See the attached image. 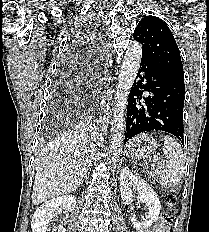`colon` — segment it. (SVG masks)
Wrapping results in <instances>:
<instances>
[{"label":"colon","instance_id":"obj_1","mask_svg":"<svg viewBox=\"0 0 209 232\" xmlns=\"http://www.w3.org/2000/svg\"><path fill=\"white\" fill-rule=\"evenodd\" d=\"M166 202L169 209H173L176 203V197L173 194H168L166 196ZM172 219V214L170 212H166L161 215L159 223L163 226H167Z\"/></svg>","mask_w":209,"mask_h":232}]
</instances>
